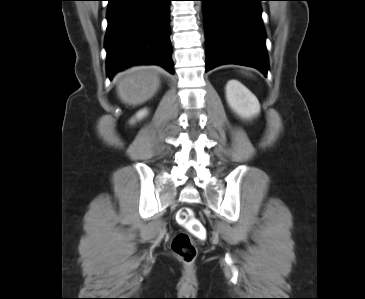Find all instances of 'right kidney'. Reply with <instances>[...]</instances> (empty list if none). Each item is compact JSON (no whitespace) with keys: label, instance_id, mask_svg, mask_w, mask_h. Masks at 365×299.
Here are the masks:
<instances>
[{"label":"right kidney","instance_id":"1","mask_svg":"<svg viewBox=\"0 0 365 299\" xmlns=\"http://www.w3.org/2000/svg\"><path fill=\"white\" fill-rule=\"evenodd\" d=\"M148 114V110L145 108V109H142L140 111H138L135 115V119H132L131 120V123H134V121L137 119V120H140L142 118H144L145 116H147Z\"/></svg>","mask_w":365,"mask_h":299}]
</instances>
